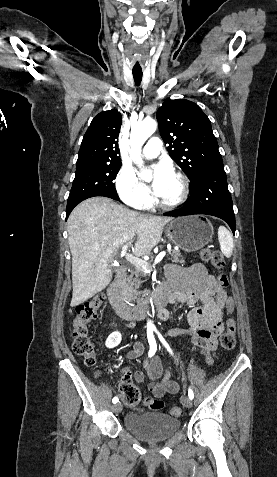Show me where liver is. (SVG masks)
<instances>
[{
    "label": "liver",
    "mask_w": 277,
    "mask_h": 477,
    "mask_svg": "<svg viewBox=\"0 0 277 477\" xmlns=\"http://www.w3.org/2000/svg\"><path fill=\"white\" fill-rule=\"evenodd\" d=\"M172 220L131 211L106 197L80 203L67 221L72 255L71 306L90 299L110 284V262L118 248L134 242L131 248L136 256L148 254Z\"/></svg>",
    "instance_id": "6515ba94"
}]
</instances>
